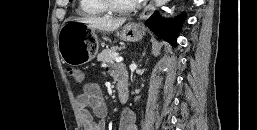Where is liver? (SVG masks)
I'll list each match as a JSON object with an SVG mask.
<instances>
[{
	"mask_svg": "<svg viewBox=\"0 0 257 130\" xmlns=\"http://www.w3.org/2000/svg\"><path fill=\"white\" fill-rule=\"evenodd\" d=\"M74 20L82 22L92 29H98L103 32H113L124 24L126 18L113 19L108 17H85Z\"/></svg>",
	"mask_w": 257,
	"mask_h": 130,
	"instance_id": "6515ba94",
	"label": "liver"
}]
</instances>
